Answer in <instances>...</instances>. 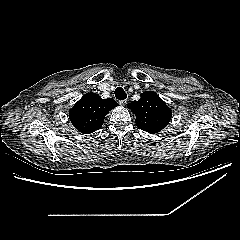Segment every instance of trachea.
<instances>
[{"label": "trachea", "mask_w": 240, "mask_h": 240, "mask_svg": "<svg viewBox=\"0 0 240 240\" xmlns=\"http://www.w3.org/2000/svg\"><path fill=\"white\" fill-rule=\"evenodd\" d=\"M114 93H115V97L119 100H123L127 98V94L122 87H117Z\"/></svg>", "instance_id": "3493384b"}]
</instances>
